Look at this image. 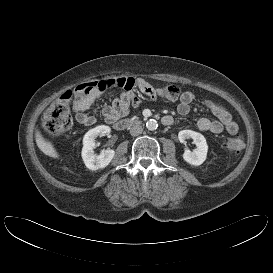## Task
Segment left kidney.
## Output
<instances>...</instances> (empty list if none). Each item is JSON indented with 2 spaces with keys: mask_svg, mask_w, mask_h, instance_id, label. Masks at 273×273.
I'll list each match as a JSON object with an SVG mask.
<instances>
[{
  "mask_svg": "<svg viewBox=\"0 0 273 273\" xmlns=\"http://www.w3.org/2000/svg\"><path fill=\"white\" fill-rule=\"evenodd\" d=\"M178 138L181 143H184L186 139H193L196 148L191 151L185 149L183 153V159L191 165H201L207 157L208 145L205 137L199 133L192 130H182L178 133Z\"/></svg>",
  "mask_w": 273,
  "mask_h": 273,
  "instance_id": "5707ae66",
  "label": "left kidney"
}]
</instances>
